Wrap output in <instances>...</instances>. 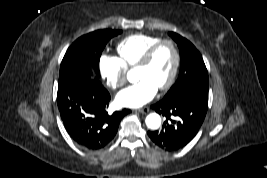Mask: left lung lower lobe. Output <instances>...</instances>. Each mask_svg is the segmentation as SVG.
Returning a JSON list of instances; mask_svg holds the SVG:
<instances>
[{"label":"left lung lower lobe","instance_id":"0a47b994","mask_svg":"<svg viewBox=\"0 0 267 178\" xmlns=\"http://www.w3.org/2000/svg\"><path fill=\"white\" fill-rule=\"evenodd\" d=\"M152 108L165 117L160 130L148 136L160 148L176 151L186 146L198 133L208 108V94L198 90L163 98Z\"/></svg>","mask_w":267,"mask_h":178}]
</instances>
